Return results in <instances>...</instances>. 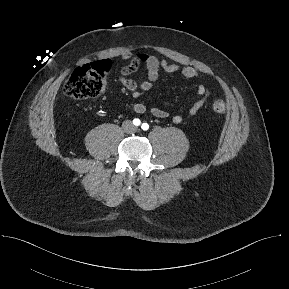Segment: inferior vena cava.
Masks as SVG:
<instances>
[{"label":"inferior vena cava","instance_id":"602c4592","mask_svg":"<svg viewBox=\"0 0 289 289\" xmlns=\"http://www.w3.org/2000/svg\"><path fill=\"white\" fill-rule=\"evenodd\" d=\"M126 124H131V122L130 121L124 122V124H123L124 128H126Z\"/></svg>","mask_w":289,"mask_h":289}]
</instances>
